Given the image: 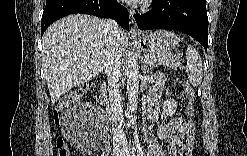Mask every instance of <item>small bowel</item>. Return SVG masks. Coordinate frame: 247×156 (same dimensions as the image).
Here are the masks:
<instances>
[{
    "mask_svg": "<svg viewBox=\"0 0 247 156\" xmlns=\"http://www.w3.org/2000/svg\"><path fill=\"white\" fill-rule=\"evenodd\" d=\"M162 90V78L158 77L148 99V117L157 123V136L165 141L171 155H189L195 141L194 123L184 121L179 115L169 121H159L157 102Z\"/></svg>",
    "mask_w": 247,
    "mask_h": 156,
    "instance_id": "1",
    "label": "small bowel"
}]
</instances>
